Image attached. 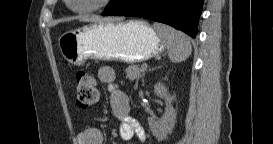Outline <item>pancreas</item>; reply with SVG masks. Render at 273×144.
<instances>
[{
  "mask_svg": "<svg viewBox=\"0 0 273 144\" xmlns=\"http://www.w3.org/2000/svg\"><path fill=\"white\" fill-rule=\"evenodd\" d=\"M144 69L142 66L138 65H130L126 68V78H128L130 81L138 80L142 73L144 72Z\"/></svg>",
  "mask_w": 273,
  "mask_h": 144,
  "instance_id": "cf45deb5",
  "label": "pancreas"
}]
</instances>
